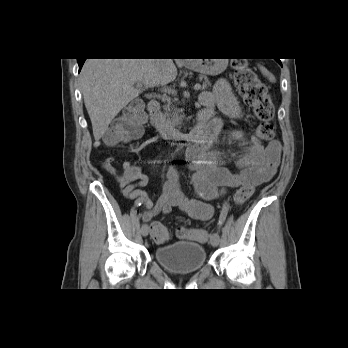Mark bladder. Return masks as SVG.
Listing matches in <instances>:
<instances>
[{
	"mask_svg": "<svg viewBox=\"0 0 348 348\" xmlns=\"http://www.w3.org/2000/svg\"><path fill=\"white\" fill-rule=\"evenodd\" d=\"M155 256L159 264L174 274L196 272L206 262L204 246L194 241L161 245L155 249Z\"/></svg>",
	"mask_w": 348,
	"mask_h": 348,
	"instance_id": "31cf9c89",
	"label": "bladder"
}]
</instances>
